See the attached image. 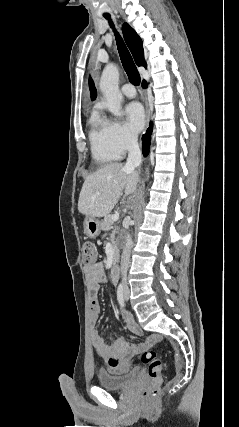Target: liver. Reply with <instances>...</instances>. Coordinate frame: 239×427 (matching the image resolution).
<instances>
[{
  "label": "liver",
  "mask_w": 239,
  "mask_h": 427,
  "mask_svg": "<svg viewBox=\"0 0 239 427\" xmlns=\"http://www.w3.org/2000/svg\"><path fill=\"white\" fill-rule=\"evenodd\" d=\"M138 172L127 169L123 163L112 162L101 166L85 178L79 200L81 214L92 217L107 216L125 190L128 196L136 191Z\"/></svg>",
  "instance_id": "obj_1"
}]
</instances>
